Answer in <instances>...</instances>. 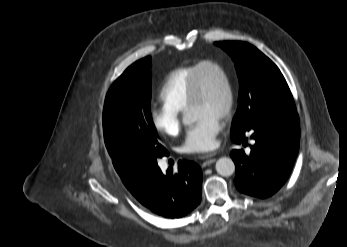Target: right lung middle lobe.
Masks as SVG:
<instances>
[{"label": "right lung middle lobe", "instance_id": "dd1d6c3e", "mask_svg": "<svg viewBox=\"0 0 347 247\" xmlns=\"http://www.w3.org/2000/svg\"><path fill=\"white\" fill-rule=\"evenodd\" d=\"M151 58L131 66L113 83L105 99L103 130L117 172L167 154L150 113Z\"/></svg>", "mask_w": 347, "mask_h": 247}]
</instances>
